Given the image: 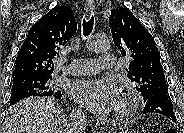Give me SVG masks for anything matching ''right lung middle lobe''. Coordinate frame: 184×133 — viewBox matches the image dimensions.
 <instances>
[{
    "label": "right lung middle lobe",
    "instance_id": "right-lung-middle-lobe-1",
    "mask_svg": "<svg viewBox=\"0 0 184 133\" xmlns=\"http://www.w3.org/2000/svg\"><path fill=\"white\" fill-rule=\"evenodd\" d=\"M50 75H20L12 79V95L10 103L15 104L19 100L31 96H56L61 91L51 85Z\"/></svg>",
    "mask_w": 184,
    "mask_h": 133
}]
</instances>
